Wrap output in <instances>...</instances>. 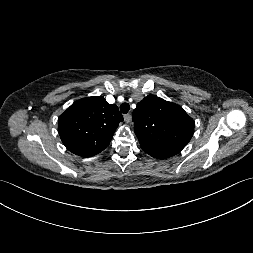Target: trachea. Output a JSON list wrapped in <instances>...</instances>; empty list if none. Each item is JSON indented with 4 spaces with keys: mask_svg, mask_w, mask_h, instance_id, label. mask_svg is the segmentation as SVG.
<instances>
[{
    "mask_svg": "<svg viewBox=\"0 0 253 253\" xmlns=\"http://www.w3.org/2000/svg\"><path fill=\"white\" fill-rule=\"evenodd\" d=\"M129 109H130V105L128 104V103H122L121 105H120V111L123 113V114H126V113H128V111H129Z\"/></svg>",
    "mask_w": 253,
    "mask_h": 253,
    "instance_id": "obj_1",
    "label": "trachea"
}]
</instances>
